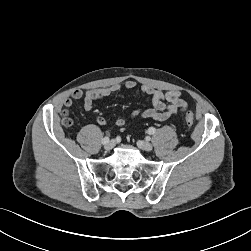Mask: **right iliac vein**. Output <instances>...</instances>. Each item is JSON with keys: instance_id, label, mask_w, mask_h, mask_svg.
Listing matches in <instances>:
<instances>
[{"instance_id": "right-iliac-vein-1", "label": "right iliac vein", "mask_w": 251, "mask_h": 251, "mask_svg": "<svg viewBox=\"0 0 251 251\" xmlns=\"http://www.w3.org/2000/svg\"><path fill=\"white\" fill-rule=\"evenodd\" d=\"M114 146H115V141L111 140L104 146V148L105 150L110 151Z\"/></svg>"}]
</instances>
